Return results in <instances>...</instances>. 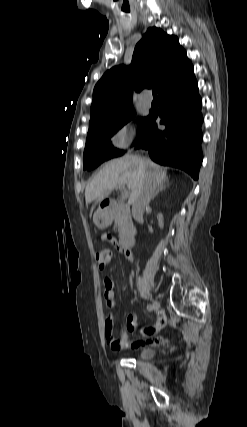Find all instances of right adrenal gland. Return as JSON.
Returning a JSON list of instances; mask_svg holds the SVG:
<instances>
[{"instance_id": "2a0ac1e0", "label": "right adrenal gland", "mask_w": 247, "mask_h": 427, "mask_svg": "<svg viewBox=\"0 0 247 427\" xmlns=\"http://www.w3.org/2000/svg\"><path fill=\"white\" fill-rule=\"evenodd\" d=\"M167 185H168V182L158 185L156 192L154 193L151 199L153 200L159 194V192L163 191L166 188Z\"/></svg>"}]
</instances>
